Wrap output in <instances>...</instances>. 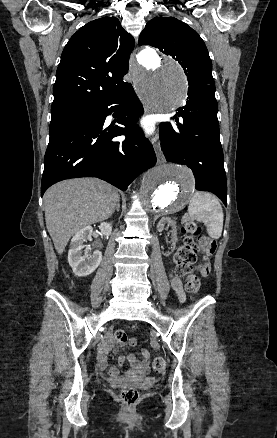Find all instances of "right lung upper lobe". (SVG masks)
Segmentation results:
<instances>
[{"instance_id": "1", "label": "right lung upper lobe", "mask_w": 277, "mask_h": 438, "mask_svg": "<svg viewBox=\"0 0 277 438\" xmlns=\"http://www.w3.org/2000/svg\"><path fill=\"white\" fill-rule=\"evenodd\" d=\"M134 44L116 17H102L80 28L62 52L51 112L89 109L92 103L121 90L127 84L123 76Z\"/></svg>"}]
</instances>
